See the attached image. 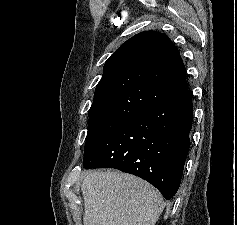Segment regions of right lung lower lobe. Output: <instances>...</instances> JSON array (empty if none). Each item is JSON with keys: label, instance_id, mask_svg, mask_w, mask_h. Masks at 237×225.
Instances as JSON below:
<instances>
[{"label": "right lung lower lobe", "instance_id": "right-lung-lower-lobe-1", "mask_svg": "<svg viewBox=\"0 0 237 225\" xmlns=\"http://www.w3.org/2000/svg\"><path fill=\"white\" fill-rule=\"evenodd\" d=\"M192 120V92L187 90L132 117L84 157L83 165L139 176L169 200L181 183Z\"/></svg>", "mask_w": 237, "mask_h": 225}]
</instances>
